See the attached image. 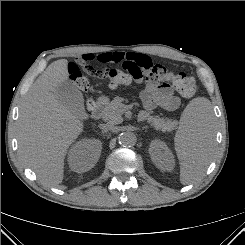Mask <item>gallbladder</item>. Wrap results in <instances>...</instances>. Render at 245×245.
<instances>
[{"label": "gallbladder", "mask_w": 245, "mask_h": 245, "mask_svg": "<svg viewBox=\"0 0 245 245\" xmlns=\"http://www.w3.org/2000/svg\"><path fill=\"white\" fill-rule=\"evenodd\" d=\"M58 102L78 118L86 116L81 91L69 80L64 81L54 92Z\"/></svg>", "instance_id": "gallbladder-1"}]
</instances>
